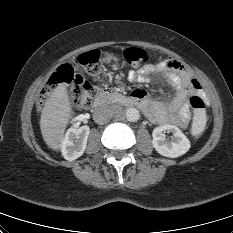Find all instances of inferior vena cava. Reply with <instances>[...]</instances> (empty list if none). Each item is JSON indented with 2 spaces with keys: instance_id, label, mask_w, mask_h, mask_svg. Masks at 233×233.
<instances>
[{
  "instance_id": "obj_1",
  "label": "inferior vena cava",
  "mask_w": 233,
  "mask_h": 233,
  "mask_svg": "<svg viewBox=\"0 0 233 233\" xmlns=\"http://www.w3.org/2000/svg\"><path fill=\"white\" fill-rule=\"evenodd\" d=\"M113 115L114 113L108 105H101L95 108L93 112V119L97 124L103 125L109 122Z\"/></svg>"
}]
</instances>
